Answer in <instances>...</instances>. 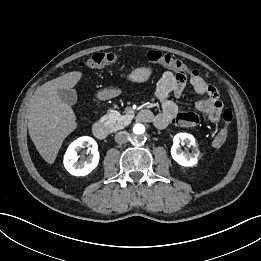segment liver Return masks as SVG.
I'll list each match as a JSON object with an SVG mask.
<instances>
[{
	"instance_id": "obj_1",
	"label": "liver",
	"mask_w": 261,
	"mask_h": 261,
	"mask_svg": "<svg viewBox=\"0 0 261 261\" xmlns=\"http://www.w3.org/2000/svg\"><path fill=\"white\" fill-rule=\"evenodd\" d=\"M82 73L73 71L46 82L36 89L29 102L28 131L42 158L53 164L64 139L77 128L73 109L57 95L59 89H71Z\"/></svg>"
}]
</instances>
